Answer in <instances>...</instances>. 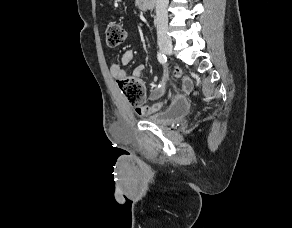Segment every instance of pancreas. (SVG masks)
<instances>
[{
  "label": "pancreas",
  "mask_w": 292,
  "mask_h": 228,
  "mask_svg": "<svg viewBox=\"0 0 292 228\" xmlns=\"http://www.w3.org/2000/svg\"><path fill=\"white\" fill-rule=\"evenodd\" d=\"M141 0H136V3L138 4Z\"/></svg>",
  "instance_id": "cf45deb5"
}]
</instances>
